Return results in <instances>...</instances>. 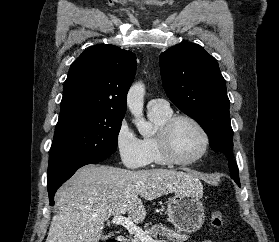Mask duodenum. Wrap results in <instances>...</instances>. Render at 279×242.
Returning <instances> with one entry per match:
<instances>
[{"label": "duodenum", "mask_w": 279, "mask_h": 242, "mask_svg": "<svg viewBox=\"0 0 279 242\" xmlns=\"http://www.w3.org/2000/svg\"><path fill=\"white\" fill-rule=\"evenodd\" d=\"M115 242H129L128 238L124 236H118L115 240Z\"/></svg>", "instance_id": "obj_1"}]
</instances>
